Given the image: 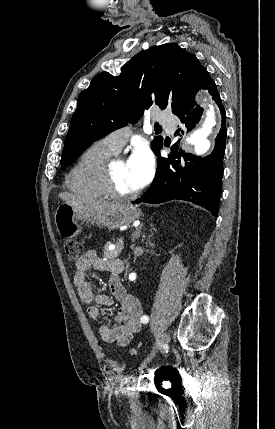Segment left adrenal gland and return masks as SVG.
<instances>
[{
  "mask_svg": "<svg viewBox=\"0 0 275 429\" xmlns=\"http://www.w3.org/2000/svg\"><path fill=\"white\" fill-rule=\"evenodd\" d=\"M142 224L138 227V228H136V230L133 232V234H132V241L134 242L136 239H138L139 238V236H140V234H141V228H142Z\"/></svg>",
  "mask_w": 275,
  "mask_h": 429,
  "instance_id": "obj_1",
  "label": "left adrenal gland"
}]
</instances>
